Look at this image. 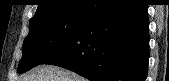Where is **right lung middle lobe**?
Listing matches in <instances>:
<instances>
[{
    "mask_svg": "<svg viewBox=\"0 0 169 81\" xmlns=\"http://www.w3.org/2000/svg\"><path fill=\"white\" fill-rule=\"evenodd\" d=\"M87 20L86 17L61 15L30 22L18 72L24 73L41 64L64 46Z\"/></svg>",
    "mask_w": 169,
    "mask_h": 81,
    "instance_id": "obj_1",
    "label": "right lung middle lobe"
}]
</instances>
